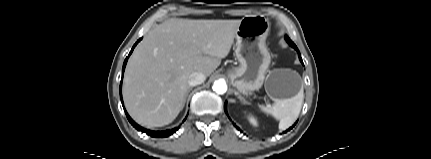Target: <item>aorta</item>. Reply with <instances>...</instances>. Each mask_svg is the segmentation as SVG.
<instances>
[{
  "mask_svg": "<svg viewBox=\"0 0 431 159\" xmlns=\"http://www.w3.org/2000/svg\"><path fill=\"white\" fill-rule=\"evenodd\" d=\"M212 88L217 94H224L227 91V84L225 80L219 79L214 82Z\"/></svg>",
  "mask_w": 431,
  "mask_h": 159,
  "instance_id": "obj_1",
  "label": "aorta"
}]
</instances>
